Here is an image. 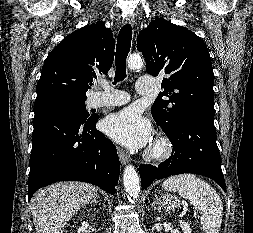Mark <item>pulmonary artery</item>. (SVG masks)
Segmentation results:
<instances>
[{"instance_id": "obj_1", "label": "pulmonary artery", "mask_w": 253, "mask_h": 233, "mask_svg": "<svg viewBox=\"0 0 253 233\" xmlns=\"http://www.w3.org/2000/svg\"><path fill=\"white\" fill-rule=\"evenodd\" d=\"M103 92L97 93L92 101L93 107L119 106L130 101V96L121 90H117L106 84L101 85ZM154 82L151 78L139 77L136 90L141 95L150 94L153 91Z\"/></svg>"}]
</instances>
